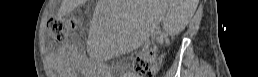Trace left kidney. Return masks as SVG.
Wrapping results in <instances>:
<instances>
[{
  "mask_svg": "<svg viewBox=\"0 0 258 77\" xmlns=\"http://www.w3.org/2000/svg\"><path fill=\"white\" fill-rule=\"evenodd\" d=\"M190 2L191 5L188 7H178L173 9L170 13L168 21H170V23L172 22L173 24L178 23L181 26H185L193 16L197 5V0H192Z\"/></svg>",
  "mask_w": 258,
  "mask_h": 77,
  "instance_id": "1",
  "label": "left kidney"
}]
</instances>
